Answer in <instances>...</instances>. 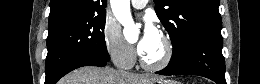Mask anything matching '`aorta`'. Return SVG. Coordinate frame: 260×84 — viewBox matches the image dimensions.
<instances>
[{
	"label": "aorta",
	"instance_id": "aorta-1",
	"mask_svg": "<svg viewBox=\"0 0 260 84\" xmlns=\"http://www.w3.org/2000/svg\"><path fill=\"white\" fill-rule=\"evenodd\" d=\"M111 8L116 19L124 26V36L128 41L138 38V27L134 24L129 0H111Z\"/></svg>",
	"mask_w": 260,
	"mask_h": 84
}]
</instances>
